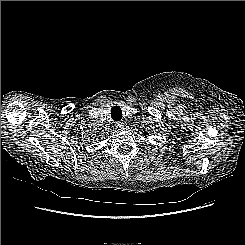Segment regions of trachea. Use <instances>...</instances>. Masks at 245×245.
<instances>
[{
    "instance_id": "obj_1",
    "label": "trachea",
    "mask_w": 245,
    "mask_h": 245,
    "mask_svg": "<svg viewBox=\"0 0 245 245\" xmlns=\"http://www.w3.org/2000/svg\"><path fill=\"white\" fill-rule=\"evenodd\" d=\"M111 117L115 121H120L122 119V111L118 106H114L111 109Z\"/></svg>"
}]
</instances>
